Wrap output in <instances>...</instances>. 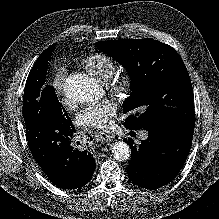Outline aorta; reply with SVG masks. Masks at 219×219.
Listing matches in <instances>:
<instances>
[{
	"label": "aorta",
	"instance_id": "aorta-1",
	"mask_svg": "<svg viewBox=\"0 0 219 219\" xmlns=\"http://www.w3.org/2000/svg\"><path fill=\"white\" fill-rule=\"evenodd\" d=\"M64 91L68 98L76 102L94 101L99 97L100 88L95 79L86 74H74L66 79ZM112 156L118 161H127L131 150L123 141L115 142L111 148Z\"/></svg>",
	"mask_w": 219,
	"mask_h": 219
}]
</instances>
